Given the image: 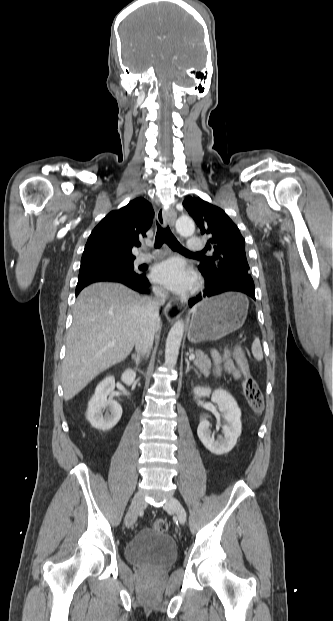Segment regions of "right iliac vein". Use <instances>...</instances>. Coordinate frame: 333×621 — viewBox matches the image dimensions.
Wrapping results in <instances>:
<instances>
[{
    "label": "right iliac vein",
    "mask_w": 333,
    "mask_h": 621,
    "mask_svg": "<svg viewBox=\"0 0 333 621\" xmlns=\"http://www.w3.org/2000/svg\"><path fill=\"white\" fill-rule=\"evenodd\" d=\"M143 504V495L141 492H137L132 499L130 508L125 517V524L127 527H131L136 522L139 510Z\"/></svg>",
    "instance_id": "1"
}]
</instances>
